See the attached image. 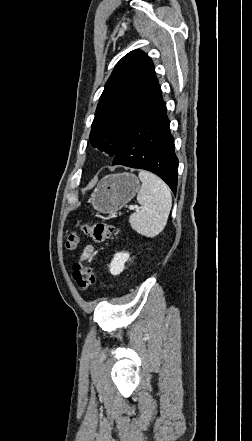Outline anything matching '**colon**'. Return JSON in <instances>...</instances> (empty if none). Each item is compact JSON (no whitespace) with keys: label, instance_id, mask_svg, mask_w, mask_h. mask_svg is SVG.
<instances>
[{"label":"colon","instance_id":"colon-1","mask_svg":"<svg viewBox=\"0 0 252 441\" xmlns=\"http://www.w3.org/2000/svg\"><path fill=\"white\" fill-rule=\"evenodd\" d=\"M81 230L95 242H102L106 239L113 238L119 232L116 227L104 222L84 223L81 226ZM78 242V235L72 232L68 235L66 247L73 250L77 247ZM73 279L80 290H88L95 283L93 268L84 263H76L73 267Z\"/></svg>","mask_w":252,"mask_h":441}]
</instances>
